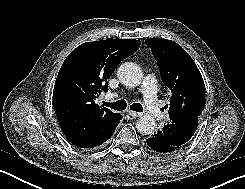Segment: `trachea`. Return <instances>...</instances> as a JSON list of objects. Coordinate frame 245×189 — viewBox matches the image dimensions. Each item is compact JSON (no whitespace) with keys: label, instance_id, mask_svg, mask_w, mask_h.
Returning a JSON list of instances; mask_svg holds the SVG:
<instances>
[{"label":"trachea","instance_id":"trachea-1","mask_svg":"<svg viewBox=\"0 0 245 189\" xmlns=\"http://www.w3.org/2000/svg\"><path fill=\"white\" fill-rule=\"evenodd\" d=\"M105 105L107 107H110L114 110H118V111H123L126 109L127 107V103L125 100H118L114 103H110V102H105ZM130 109L136 112H143V107L140 103H134L130 106Z\"/></svg>","mask_w":245,"mask_h":189}]
</instances>
